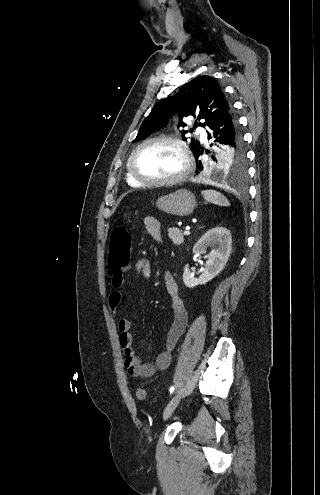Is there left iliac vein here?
I'll use <instances>...</instances> for the list:
<instances>
[{
	"mask_svg": "<svg viewBox=\"0 0 320 495\" xmlns=\"http://www.w3.org/2000/svg\"><path fill=\"white\" fill-rule=\"evenodd\" d=\"M181 396H182V393L178 392L169 401V403L167 404V406L164 410V413H163V419L164 420H167L172 415L173 411L175 410V408L177 407V405L179 404V402L181 400Z\"/></svg>",
	"mask_w": 320,
	"mask_h": 495,
	"instance_id": "left-iliac-vein-1",
	"label": "left iliac vein"
}]
</instances>
